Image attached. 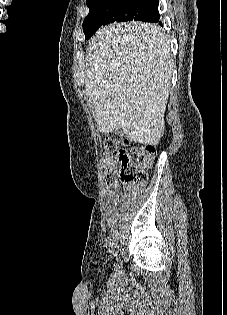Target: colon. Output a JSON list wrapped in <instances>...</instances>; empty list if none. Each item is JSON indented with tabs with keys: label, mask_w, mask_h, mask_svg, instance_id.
Masks as SVG:
<instances>
[{
	"label": "colon",
	"mask_w": 227,
	"mask_h": 315,
	"mask_svg": "<svg viewBox=\"0 0 227 315\" xmlns=\"http://www.w3.org/2000/svg\"><path fill=\"white\" fill-rule=\"evenodd\" d=\"M129 142L119 132L108 133L102 141L104 158L100 166V178L109 184L118 177L123 183L140 190L146 183L152 167L156 149L150 144H132L122 150L120 146Z\"/></svg>",
	"instance_id": "5ec220e1"
}]
</instances>
